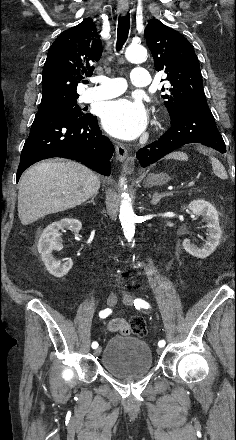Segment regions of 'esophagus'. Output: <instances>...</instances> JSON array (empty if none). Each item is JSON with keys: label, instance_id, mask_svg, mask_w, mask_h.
Returning a JSON list of instances; mask_svg holds the SVG:
<instances>
[{"label": "esophagus", "instance_id": "obj_1", "mask_svg": "<svg viewBox=\"0 0 236 440\" xmlns=\"http://www.w3.org/2000/svg\"><path fill=\"white\" fill-rule=\"evenodd\" d=\"M118 12L125 15L128 12V3L120 2L118 4ZM115 152L117 159L123 163L124 170L129 174L132 173L134 171V158L128 156L127 149L123 145L117 144Z\"/></svg>", "mask_w": 236, "mask_h": 440}]
</instances>
